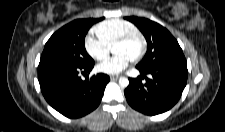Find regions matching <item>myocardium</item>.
Masks as SVG:
<instances>
[{
	"mask_svg": "<svg viewBox=\"0 0 225 132\" xmlns=\"http://www.w3.org/2000/svg\"><path fill=\"white\" fill-rule=\"evenodd\" d=\"M134 38H139L141 41V49H140L139 53L132 58L133 61L137 62V61H140L145 56L146 51H147V46H148L145 36L140 31H138V30L130 31V32L122 35L115 41V43L113 44V47L116 45L128 43L129 41H131Z\"/></svg>",
	"mask_w": 225,
	"mask_h": 132,
	"instance_id": "1",
	"label": "myocardium"
}]
</instances>
